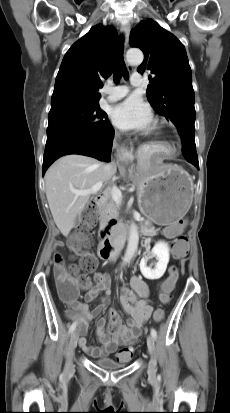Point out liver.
I'll list each match as a JSON object with an SVG mask.
<instances>
[{
	"label": "liver",
	"instance_id": "obj_1",
	"mask_svg": "<svg viewBox=\"0 0 230 413\" xmlns=\"http://www.w3.org/2000/svg\"><path fill=\"white\" fill-rule=\"evenodd\" d=\"M104 165L92 157L70 154L47 170L46 197L54 222L64 236H68L90 198V195H75L72 190H88L97 182H109L115 173H106Z\"/></svg>",
	"mask_w": 230,
	"mask_h": 413
}]
</instances>
